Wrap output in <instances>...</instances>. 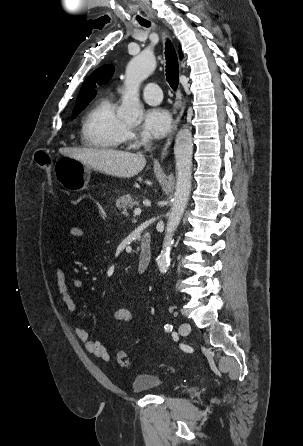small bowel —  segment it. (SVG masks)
Listing matches in <instances>:
<instances>
[{"instance_id":"obj_1","label":"small bowel","mask_w":303,"mask_h":446,"mask_svg":"<svg viewBox=\"0 0 303 446\" xmlns=\"http://www.w3.org/2000/svg\"><path fill=\"white\" fill-rule=\"evenodd\" d=\"M84 234L83 229L78 226H73L69 229V236L75 240L83 238ZM54 274L62 301L66 305L68 311L74 313L77 307L72 296L70 295V288L82 290L85 287L84 282L78 278H73L68 281L66 272L60 263H56L54 267ZM115 317L117 320L128 321L131 318V312L128 309H120L116 312ZM75 334L77 338L83 342L85 349L89 353L102 360H109L110 356L106 347L102 343L91 339L86 329L76 327Z\"/></svg>"}]
</instances>
